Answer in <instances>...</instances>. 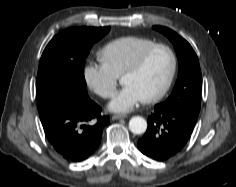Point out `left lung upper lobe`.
Wrapping results in <instances>:
<instances>
[{
  "mask_svg": "<svg viewBox=\"0 0 236 187\" xmlns=\"http://www.w3.org/2000/svg\"><path fill=\"white\" fill-rule=\"evenodd\" d=\"M153 29L168 37L179 61L178 79L174 89L161 105L171 109H186L199 115L202 77L196 53L185 39L169 28L154 26Z\"/></svg>",
  "mask_w": 236,
  "mask_h": 187,
  "instance_id": "5c2ea615",
  "label": "left lung upper lobe"
}]
</instances>
